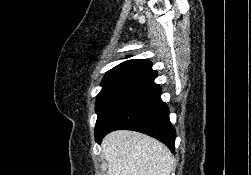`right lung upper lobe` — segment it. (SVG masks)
<instances>
[{"label": "right lung upper lobe", "mask_w": 251, "mask_h": 175, "mask_svg": "<svg viewBox=\"0 0 251 175\" xmlns=\"http://www.w3.org/2000/svg\"><path fill=\"white\" fill-rule=\"evenodd\" d=\"M157 72L152 69V63L142 59L125 61L109 70L103 79L114 77H131L137 81L154 79Z\"/></svg>", "instance_id": "right-lung-upper-lobe-1"}]
</instances>
